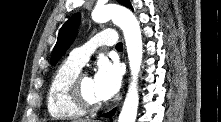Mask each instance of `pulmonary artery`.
<instances>
[{"label":"pulmonary artery","instance_id":"pulmonary-artery-1","mask_svg":"<svg viewBox=\"0 0 221 122\" xmlns=\"http://www.w3.org/2000/svg\"><path fill=\"white\" fill-rule=\"evenodd\" d=\"M117 43V37L113 30L107 29L96 34L85 45L74 49L70 54V59L79 66H83L89 59L91 53L99 46H114Z\"/></svg>","mask_w":221,"mask_h":122}]
</instances>
